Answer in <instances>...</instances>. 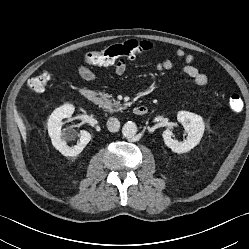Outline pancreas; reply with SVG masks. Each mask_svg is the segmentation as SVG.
<instances>
[{
	"mask_svg": "<svg viewBox=\"0 0 249 249\" xmlns=\"http://www.w3.org/2000/svg\"><path fill=\"white\" fill-rule=\"evenodd\" d=\"M111 95L108 93H100L99 106L109 111L110 113L115 112L117 110L125 109V106H122L119 101L115 99H110Z\"/></svg>",
	"mask_w": 249,
	"mask_h": 249,
	"instance_id": "pancreas-1",
	"label": "pancreas"
}]
</instances>
